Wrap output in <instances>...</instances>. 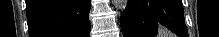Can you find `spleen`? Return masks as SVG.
<instances>
[{
    "label": "spleen",
    "mask_w": 219,
    "mask_h": 37,
    "mask_svg": "<svg viewBox=\"0 0 219 37\" xmlns=\"http://www.w3.org/2000/svg\"><path fill=\"white\" fill-rule=\"evenodd\" d=\"M164 33H165L164 30H160L159 35H163ZM170 37H173V36H170Z\"/></svg>",
    "instance_id": "1"
}]
</instances>
